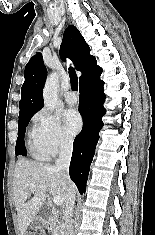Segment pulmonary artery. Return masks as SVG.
I'll use <instances>...</instances> for the list:
<instances>
[{"label":"pulmonary artery","mask_w":155,"mask_h":235,"mask_svg":"<svg viewBox=\"0 0 155 235\" xmlns=\"http://www.w3.org/2000/svg\"><path fill=\"white\" fill-rule=\"evenodd\" d=\"M64 99L69 105H75L78 101L77 96L72 91L66 92Z\"/></svg>","instance_id":"pulmonary-artery-1"}]
</instances>
